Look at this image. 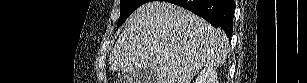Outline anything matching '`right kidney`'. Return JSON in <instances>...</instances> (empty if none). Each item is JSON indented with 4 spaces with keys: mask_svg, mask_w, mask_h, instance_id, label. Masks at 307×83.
<instances>
[{
    "mask_svg": "<svg viewBox=\"0 0 307 83\" xmlns=\"http://www.w3.org/2000/svg\"><path fill=\"white\" fill-rule=\"evenodd\" d=\"M195 83H218L216 69L210 65L206 66L201 70Z\"/></svg>",
    "mask_w": 307,
    "mask_h": 83,
    "instance_id": "1",
    "label": "right kidney"
}]
</instances>
